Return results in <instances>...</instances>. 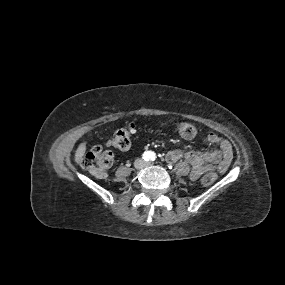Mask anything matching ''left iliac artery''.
Returning a JSON list of instances; mask_svg holds the SVG:
<instances>
[{
    "instance_id": "left-iliac-artery-1",
    "label": "left iliac artery",
    "mask_w": 285,
    "mask_h": 285,
    "mask_svg": "<svg viewBox=\"0 0 285 285\" xmlns=\"http://www.w3.org/2000/svg\"><path fill=\"white\" fill-rule=\"evenodd\" d=\"M151 160L154 161L156 159V155L155 153H151V156H150Z\"/></svg>"
}]
</instances>
